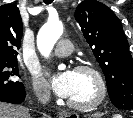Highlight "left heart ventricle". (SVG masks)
<instances>
[{
  "instance_id": "obj_1",
  "label": "left heart ventricle",
  "mask_w": 133,
  "mask_h": 118,
  "mask_svg": "<svg viewBox=\"0 0 133 118\" xmlns=\"http://www.w3.org/2000/svg\"><path fill=\"white\" fill-rule=\"evenodd\" d=\"M75 75V90L69 100L82 104L90 102L97 93V86L94 78L87 72H75Z\"/></svg>"
}]
</instances>
